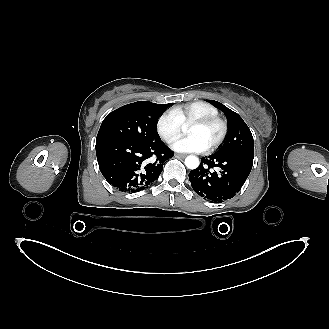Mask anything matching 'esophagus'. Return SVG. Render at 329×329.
Masks as SVG:
<instances>
[{
	"mask_svg": "<svg viewBox=\"0 0 329 329\" xmlns=\"http://www.w3.org/2000/svg\"><path fill=\"white\" fill-rule=\"evenodd\" d=\"M175 156H176V157H181V158H184V157H186V155H185V154H181V153H177V154H175Z\"/></svg>",
	"mask_w": 329,
	"mask_h": 329,
	"instance_id": "34e87169",
	"label": "esophagus"
}]
</instances>
